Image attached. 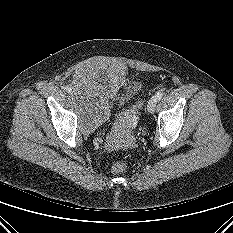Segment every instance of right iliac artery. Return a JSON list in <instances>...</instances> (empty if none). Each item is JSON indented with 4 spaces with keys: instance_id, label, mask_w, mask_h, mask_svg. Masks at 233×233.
Listing matches in <instances>:
<instances>
[{
    "instance_id": "obj_1",
    "label": "right iliac artery",
    "mask_w": 233,
    "mask_h": 233,
    "mask_svg": "<svg viewBox=\"0 0 233 233\" xmlns=\"http://www.w3.org/2000/svg\"><path fill=\"white\" fill-rule=\"evenodd\" d=\"M66 91H67V92H71V87L67 86V87H66Z\"/></svg>"
}]
</instances>
